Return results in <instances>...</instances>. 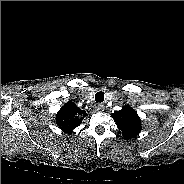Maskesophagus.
Segmentation results:
<instances>
[{
	"instance_id": "34e87169",
	"label": "esophagus",
	"mask_w": 184,
	"mask_h": 184,
	"mask_svg": "<svg viewBox=\"0 0 184 184\" xmlns=\"http://www.w3.org/2000/svg\"><path fill=\"white\" fill-rule=\"evenodd\" d=\"M104 109H105V107H104V105L102 103H98L96 105V110L97 111L102 112V111H104Z\"/></svg>"
}]
</instances>
